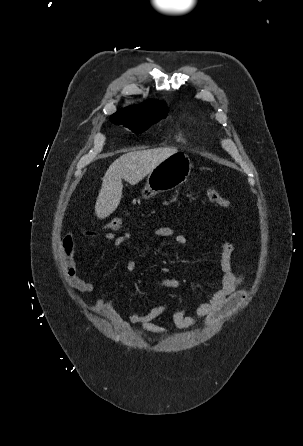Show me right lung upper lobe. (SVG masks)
<instances>
[{
	"mask_svg": "<svg viewBox=\"0 0 303 446\" xmlns=\"http://www.w3.org/2000/svg\"><path fill=\"white\" fill-rule=\"evenodd\" d=\"M167 106L165 104L160 103L159 101H149L146 103H143L141 106H130L127 107L115 114H122V115H144L150 112H153L154 110L158 108H166Z\"/></svg>",
	"mask_w": 303,
	"mask_h": 446,
	"instance_id": "obj_1",
	"label": "right lung upper lobe"
}]
</instances>
